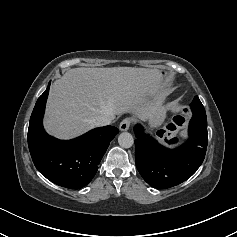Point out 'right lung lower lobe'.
<instances>
[{"instance_id": "right-lung-lower-lobe-1", "label": "right lung lower lobe", "mask_w": 237, "mask_h": 237, "mask_svg": "<svg viewBox=\"0 0 237 237\" xmlns=\"http://www.w3.org/2000/svg\"><path fill=\"white\" fill-rule=\"evenodd\" d=\"M49 86L38 98L29 128L28 146L34 165L51 182L70 189L87 185L98 170V165L110 141L119 132L116 127L95 128L69 141L48 135L42 125Z\"/></svg>"}]
</instances>
